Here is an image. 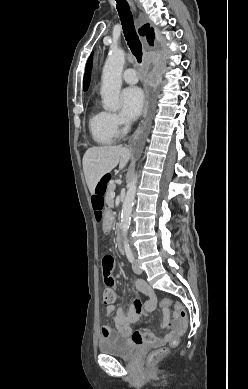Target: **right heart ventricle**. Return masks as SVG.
<instances>
[{
    "instance_id": "e07e8e85",
    "label": "right heart ventricle",
    "mask_w": 248,
    "mask_h": 389,
    "mask_svg": "<svg viewBox=\"0 0 248 389\" xmlns=\"http://www.w3.org/2000/svg\"><path fill=\"white\" fill-rule=\"evenodd\" d=\"M89 131L92 139L100 145H108L114 142L116 133L111 125L110 113L95 107L90 115Z\"/></svg>"
}]
</instances>
